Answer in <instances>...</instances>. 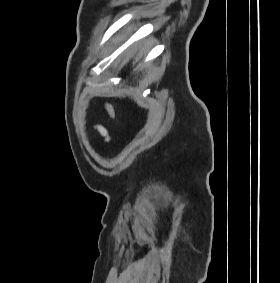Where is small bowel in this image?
Here are the masks:
<instances>
[{"label": "small bowel", "mask_w": 280, "mask_h": 283, "mask_svg": "<svg viewBox=\"0 0 280 283\" xmlns=\"http://www.w3.org/2000/svg\"><path fill=\"white\" fill-rule=\"evenodd\" d=\"M95 129L105 140H109L110 138L109 132L104 126L100 124H96Z\"/></svg>", "instance_id": "c3829d8e"}]
</instances>
